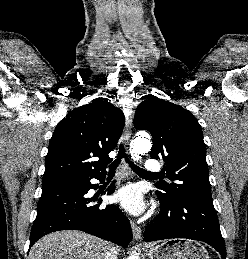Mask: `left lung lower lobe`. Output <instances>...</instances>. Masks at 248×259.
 Segmentation results:
<instances>
[{
  "instance_id": "0a47b994",
  "label": "left lung lower lobe",
  "mask_w": 248,
  "mask_h": 259,
  "mask_svg": "<svg viewBox=\"0 0 248 259\" xmlns=\"http://www.w3.org/2000/svg\"><path fill=\"white\" fill-rule=\"evenodd\" d=\"M161 211L144 232L145 241L187 238L203 241L226 258L225 244L220 232L213 202L167 200L157 193Z\"/></svg>"
}]
</instances>
